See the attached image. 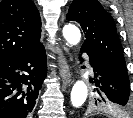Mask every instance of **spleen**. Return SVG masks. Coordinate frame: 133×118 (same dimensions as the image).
Returning a JSON list of instances; mask_svg holds the SVG:
<instances>
[{
    "label": "spleen",
    "instance_id": "spleen-1",
    "mask_svg": "<svg viewBox=\"0 0 133 118\" xmlns=\"http://www.w3.org/2000/svg\"><path fill=\"white\" fill-rule=\"evenodd\" d=\"M124 114H122V113H120L119 115H118V118H124Z\"/></svg>",
    "mask_w": 133,
    "mask_h": 118
}]
</instances>
